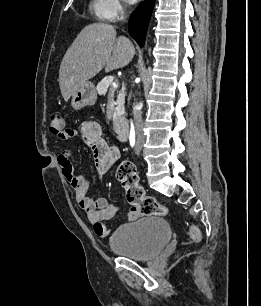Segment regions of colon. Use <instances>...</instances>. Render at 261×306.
<instances>
[{"mask_svg":"<svg viewBox=\"0 0 261 306\" xmlns=\"http://www.w3.org/2000/svg\"><path fill=\"white\" fill-rule=\"evenodd\" d=\"M50 131L61 138H66L69 135L70 130L65 127L64 118L59 112H53L50 115ZM115 177L125 188L127 201L138 213L158 216H164L168 213V209L164 205L145 193L139 184L136 168L132 162L120 163L116 169ZM189 235L193 241H197L200 238V231L197 227L192 226Z\"/></svg>","mask_w":261,"mask_h":306,"instance_id":"obj_1","label":"colon"}]
</instances>
